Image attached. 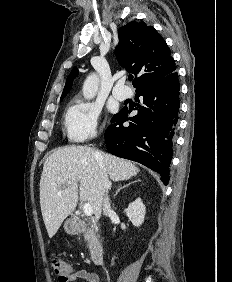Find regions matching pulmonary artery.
I'll return each mask as SVG.
<instances>
[{"instance_id": "pulmonary-artery-1", "label": "pulmonary artery", "mask_w": 232, "mask_h": 282, "mask_svg": "<svg viewBox=\"0 0 232 282\" xmlns=\"http://www.w3.org/2000/svg\"><path fill=\"white\" fill-rule=\"evenodd\" d=\"M130 95V89L123 82H119L113 89V96L119 101L127 99Z\"/></svg>"}]
</instances>
